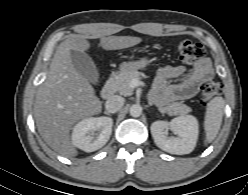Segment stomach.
Here are the masks:
<instances>
[{
    "label": "stomach",
    "instance_id": "1",
    "mask_svg": "<svg viewBox=\"0 0 248 195\" xmlns=\"http://www.w3.org/2000/svg\"><path fill=\"white\" fill-rule=\"evenodd\" d=\"M150 60L148 58H142L137 61L124 62L120 65V71H130V70H138L143 69L147 65H149Z\"/></svg>",
    "mask_w": 248,
    "mask_h": 195
}]
</instances>
